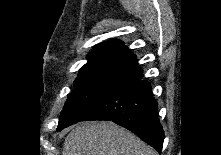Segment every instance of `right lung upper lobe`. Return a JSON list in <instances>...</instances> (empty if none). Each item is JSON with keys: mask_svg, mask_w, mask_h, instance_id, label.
I'll use <instances>...</instances> for the list:
<instances>
[{"mask_svg": "<svg viewBox=\"0 0 221 155\" xmlns=\"http://www.w3.org/2000/svg\"><path fill=\"white\" fill-rule=\"evenodd\" d=\"M131 53L132 52L124 46L122 41L114 40L95 45L92 52L87 55V59L106 55L121 56L124 58Z\"/></svg>", "mask_w": 221, "mask_h": 155, "instance_id": "cb5924a9", "label": "right lung upper lobe"}]
</instances>
